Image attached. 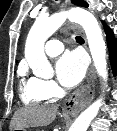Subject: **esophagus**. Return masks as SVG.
Here are the masks:
<instances>
[{"mask_svg":"<svg viewBox=\"0 0 117 131\" xmlns=\"http://www.w3.org/2000/svg\"><path fill=\"white\" fill-rule=\"evenodd\" d=\"M66 5H70V0H65ZM72 29L83 33L80 26L76 24L71 25ZM96 78L93 64L90 66L87 74V83L80 89L75 91L70 98L64 104V110L71 114H78L83 110L94 98V92L91 88V84Z\"/></svg>","mask_w":117,"mask_h":131,"instance_id":"esophagus-1","label":"esophagus"}]
</instances>
